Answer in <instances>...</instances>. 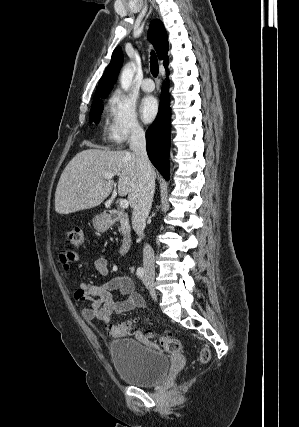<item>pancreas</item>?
Returning <instances> with one entry per match:
<instances>
[{
	"mask_svg": "<svg viewBox=\"0 0 299 427\" xmlns=\"http://www.w3.org/2000/svg\"><path fill=\"white\" fill-rule=\"evenodd\" d=\"M118 229L125 238H130V225L127 220H123Z\"/></svg>",
	"mask_w": 299,
	"mask_h": 427,
	"instance_id": "1",
	"label": "pancreas"
}]
</instances>
